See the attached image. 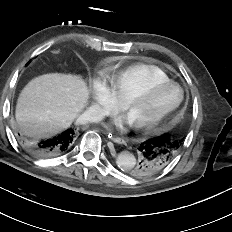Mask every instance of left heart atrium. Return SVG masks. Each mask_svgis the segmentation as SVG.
<instances>
[{
  "instance_id": "left-heart-atrium-1",
  "label": "left heart atrium",
  "mask_w": 232,
  "mask_h": 232,
  "mask_svg": "<svg viewBox=\"0 0 232 232\" xmlns=\"http://www.w3.org/2000/svg\"><path fill=\"white\" fill-rule=\"evenodd\" d=\"M114 124L118 127H122L124 124H133L132 119L130 118V116L127 115H121L115 118L114 120Z\"/></svg>"
}]
</instances>
